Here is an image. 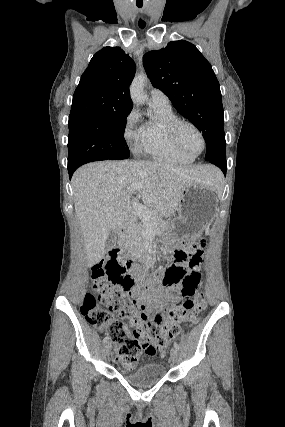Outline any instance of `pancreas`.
<instances>
[{
    "instance_id": "pancreas-1",
    "label": "pancreas",
    "mask_w": 285,
    "mask_h": 427,
    "mask_svg": "<svg viewBox=\"0 0 285 427\" xmlns=\"http://www.w3.org/2000/svg\"><path fill=\"white\" fill-rule=\"evenodd\" d=\"M138 215L136 214L134 218L136 219ZM140 223H132L127 228H125L123 234L120 237V244L122 246H131L140 241V236L144 235L148 229L151 227L154 230H160L166 222L161 220L160 216L152 214V217L148 220L140 218Z\"/></svg>"
}]
</instances>
